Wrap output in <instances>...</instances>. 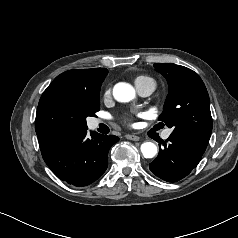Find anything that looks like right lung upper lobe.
I'll list each match as a JSON object with an SVG mask.
<instances>
[{"label": "right lung upper lobe", "mask_w": 238, "mask_h": 238, "mask_svg": "<svg viewBox=\"0 0 238 238\" xmlns=\"http://www.w3.org/2000/svg\"><path fill=\"white\" fill-rule=\"evenodd\" d=\"M102 68L77 69L57 76L42 94L36 113L35 130L44 145L68 130L75 115L74 98L100 89Z\"/></svg>", "instance_id": "obj_1"}]
</instances>
